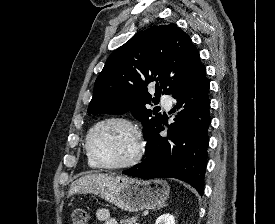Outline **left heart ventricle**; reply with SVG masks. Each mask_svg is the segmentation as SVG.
I'll return each instance as SVG.
<instances>
[{"instance_id":"b2bd125f","label":"left heart ventricle","mask_w":275,"mask_h":224,"mask_svg":"<svg viewBox=\"0 0 275 224\" xmlns=\"http://www.w3.org/2000/svg\"><path fill=\"white\" fill-rule=\"evenodd\" d=\"M92 148L101 161L118 164L133 156L136 142L126 125L113 122L102 125L94 132Z\"/></svg>"}]
</instances>
